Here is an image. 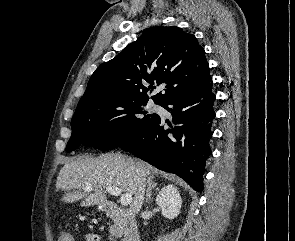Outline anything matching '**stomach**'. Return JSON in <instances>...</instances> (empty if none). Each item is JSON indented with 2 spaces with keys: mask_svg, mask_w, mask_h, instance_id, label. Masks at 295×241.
Wrapping results in <instances>:
<instances>
[{
  "mask_svg": "<svg viewBox=\"0 0 295 241\" xmlns=\"http://www.w3.org/2000/svg\"><path fill=\"white\" fill-rule=\"evenodd\" d=\"M98 208H99V209H102V208H103V205H99Z\"/></svg>",
  "mask_w": 295,
  "mask_h": 241,
  "instance_id": "1",
  "label": "stomach"
}]
</instances>
